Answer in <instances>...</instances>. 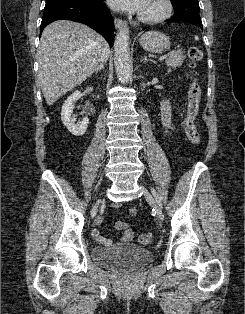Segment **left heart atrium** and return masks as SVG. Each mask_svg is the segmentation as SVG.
I'll return each instance as SVG.
<instances>
[{
    "label": "left heart atrium",
    "instance_id": "39dd6f15",
    "mask_svg": "<svg viewBox=\"0 0 245 314\" xmlns=\"http://www.w3.org/2000/svg\"><path fill=\"white\" fill-rule=\"evenodd\" d=\"M148 0H107L117 10L141 13Z\"/></svg>",
    "mask_w": 245,
    "mask_h": 314
}]
</instances>
